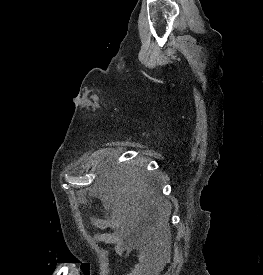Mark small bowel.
Instances as JSON below:
<instances>
[{
  "instance_id": "1",
  "label": "small bowel",
  "mask_w": 263,
  "mask_h": 275,
  "mask_svg": "<svg viewBox=\"0 0 263 275\" xmlns=\"http://www.w3.org/2000/svg\"><path fill=\"white\" fill-rule=\"evenodd\" d=\"M92 224L97 228H106L111 223L102 219H95ZM93 239L96 242L115 244L116 252L119 255H123L124 253L134 249L137 250V261L133 268L125 275H153V273L158 270V268L150 262L145 250L139 247L132 237L124 232L98 233Z\"/></svg>"
}]
</instances>
